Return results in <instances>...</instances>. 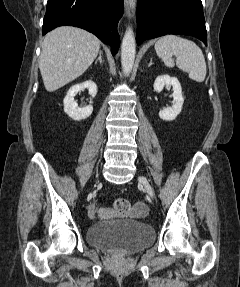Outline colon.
<instances>
[{"instance_id": "1", "label": "colon", "mask_w": 240, "mask_h": 287, "mask_svg": "<svg viewBox=\"0 0 240 287\" xmlns=\"http://www.w3.org/2000/svg\"><path fill=\"white\" fill-rule=\"evenodd\" d=\"M112 212L114 215L119 216V217H124L131 213L136 216L143 215L142 212H134L131 209L130 202L125 198H118L114 201Z\"/></svg>"}]
</instances>
